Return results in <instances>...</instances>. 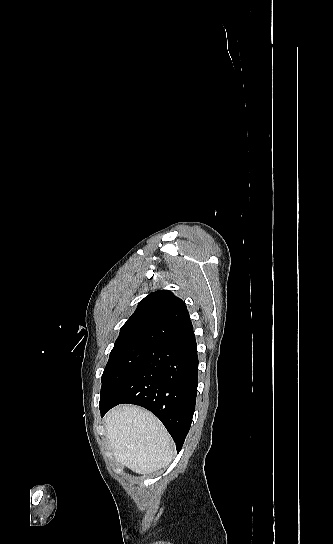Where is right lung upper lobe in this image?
<instances>
[{"label":"right lung upper lobe","mask_w":333,"mask_h":544,"mask_svg":"<svg viewBox=\"0 0 333 544\" xmlns=\"http://www.w3.org/2000/svg\"><path fill=\"white\" fill-rule=\"evenodd\" d=\"M191 330L193 326L185 303L171 291L158 290L139 302L120 329L113 349L153 346Z\"/></svg>","instance_id":"1"}]
</instances>
